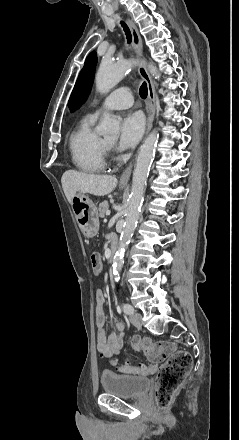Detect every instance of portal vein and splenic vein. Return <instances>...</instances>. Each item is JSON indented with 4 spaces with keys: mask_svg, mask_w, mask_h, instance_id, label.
<instances>
[{
    "mask_svg": "<svg viewBox=\"0 0 239 440\" xmlns=\"http://www.w3.org/2000/svg\"><path fill=\"white\" fill-rule=\"evenodd\" d=\"M107 211L108 212H106V216H110V212H109L110 210L108 209Z\"/></svg>",
    "mask_w": 239,
    "mask_h": 440,
    "instance_id": "portal-vein-and-splenic-vein-1",
    "label": "portal vein and splenic vein"
}]
</instances>
